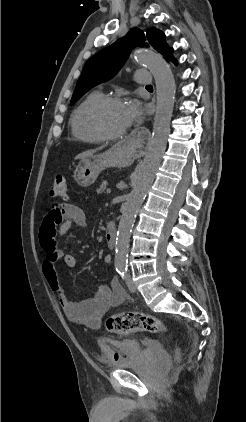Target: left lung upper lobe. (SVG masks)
Returning <instances> with one entry per match:
<instances>
[{"label": "left lung upper lobe", "mask_w": 246, "mask_h": 422, "mask_svg": "<svg viewBox=\"0 0 246 422\" xmlns=\"http://www.w3.org/2000/svg\"><path fill=\"white\" fill-rule=\"evenodd\" d=\"M136 47L156 48L165 59L172 54L165 41V34L155 28L147 32L134 28L126 36L112 45L99 51L85 64L82 74L76 84L70 105L76 103L94 86L111 79L122 68L130 52Z\"/></svg>", "instance_id": "left-lung-upper-lobe-1"}]
</instances>
